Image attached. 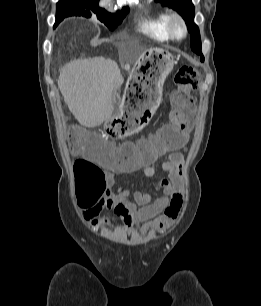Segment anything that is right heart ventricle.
<instances>
[{"label":"right heart ventricle","instance_id":"1","mask_svg":"<svg viewBox=\"0 0 261 306\" xmlns=\"http://www.w3.org/2000/svg\"><path fill=\"white\" fill-rule=\"evenodd\" d=\"M169 17V14L164 11L144 14L139 21V29L158 41H167L171 39L168 29Z\"/></svg>","mask_w":261,"mask_h":306}]
</instances>
